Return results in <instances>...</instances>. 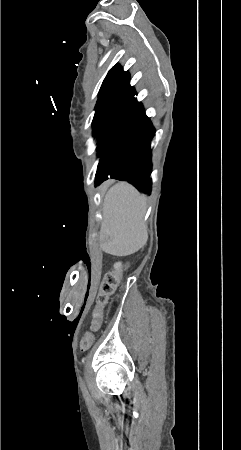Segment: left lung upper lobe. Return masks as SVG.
Wrapping results in <instances>:
<instances>
[{
  "mask_svg": "<svg viewBox=\"0 0 241 450\" xmlns=\"http://www.w3.org/2000/svg\"><path fill=\"white\" fill-rule=\"evenodd\" d=\"M124 75L122 68L119 65H115L105 77L102 86L99 91L97 104L95 107V115L104 109L121 91L124 86ZM93 119V121H94Z\"/></svg>",
  "mask_w": 241,
  "mask_h": 450,
  "instance_id": "5c2ea615",
  "label": "left lung upper lobe"
}]
</instances>
